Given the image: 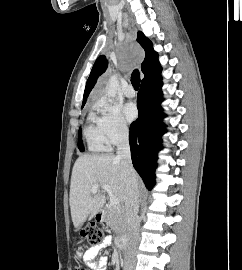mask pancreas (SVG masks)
<instances>
[{
  "mask_svg": "<svg viewBox=\"0 0 242 270\" xmlns=\"http://www.w3.org/2000/svg\"><path fill=\"white\" fill-rule=\"evenodd\" d=\"M105 221L120 235H122L127 229L123 208L110 205L107 208Z\"/></svg>",
  "mask_w": 242,
  "mask_h": 270,
  "instance_id": "cf45deb5",
  "label": "pancreas"
}]
</instances>
